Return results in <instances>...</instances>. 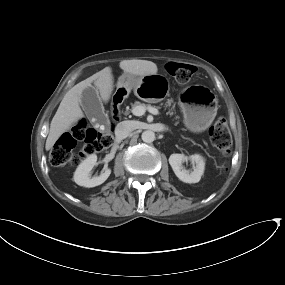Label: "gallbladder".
<instances>
[{
    "instance_id": "gallbladder-1",
    "label": "gallbladder",
    "mask_w": 285,
    "mask_h": 285,
    "mask_svg": "<svg viewBox=\"0 0 285 285\" xmlns=\"http://www.w3.org/2000/svg\"><path fill=\"white\" fill-rule=\"evenodd\" d=\"M81 106L89 120L94 123L107 124L108 116L104 111L98 91L93 86L86 87L81 96Z\"/></svg>"
}]
</instances>
